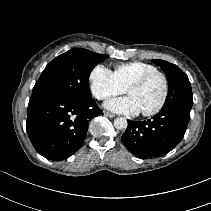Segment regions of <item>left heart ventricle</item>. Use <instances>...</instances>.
Segmentation results:
<instances>
[{
	"mask_svg": "<svg viewBox=\"0 0 211 211\" xmlns=\"http://www.w3.org/2000/svg\"><path fill=\"white\" fill-rule=\"evenodd\" d=\"M164 92V83L161 77L155 76L145 85L139 88H133L129 91L141 112L154 109L161 101Z\"/></svg>",
	"mask_w": 211,
	"mask_h": 211,
	"instance_id": "b2bd125f",
	"label": "left heart ventricle"
}]
</instances>
